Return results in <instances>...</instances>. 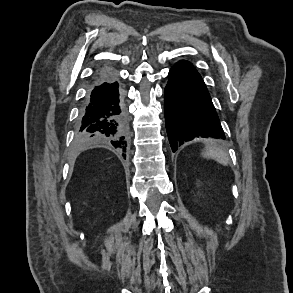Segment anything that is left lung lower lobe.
Returning a JSON list of instances; mask_svg holds the SVG:
<instances>
[{"mask_svg": "<svg viewBox=\"0 0 293 293\" xmlns=\"http://www.w3.org/2000/svg\"><path fill=\"white\" fill-rule=\"evenodd\" d=\"M168 77L164 110L172 151L196 137L225 139L207 87L193 65L179 61Z\"/></svg>", "mask_w": 293, "mask_h": 293, "instance_id": "left-lung-lower-lobe-1", "label": "left lung lower lobe"}]
</instances>
